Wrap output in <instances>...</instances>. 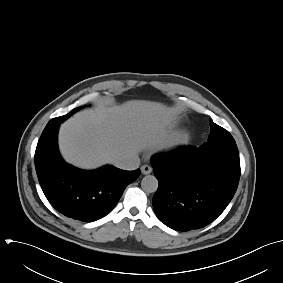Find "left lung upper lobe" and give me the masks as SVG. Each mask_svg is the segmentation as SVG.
<instances>
[{"mask_svg":"<svg viewBox=\"0 0 283 283\" xmlns=\"http://www.w3.org/2000/svg\"><path fill=\"white\" fill-rule=\"evenodd\" d=\"M209 122L211 133L208 142L201 145L199 150L221 153L234 158H239L238 149L231 134L224 128L215 124L211 119Z\"/></svg>","mask_w":283,"mask_h":283,"instance_id":"left-lung-upper-lobe-1","label":"left lung upper lobe"}]
</instances>
